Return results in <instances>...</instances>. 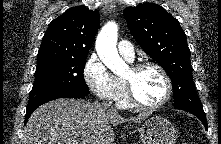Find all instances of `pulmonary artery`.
I'll return each mask as SVG.
<instances>
[{
    "label": "pulmonary artery",
    "mask_w": 221,
    "mask_h": 144,
    "mask_svg": "<svg viewBox=\"0 0 221 144\" xmlns=\"http://www.w3.org/2000/svg\"><path fill=\"white\" fill-rule=\"evenodd\" d=\"M118 51L120 55L128 61H133L135 52L132 44L129 41L121 40L118 43Z\"/></svg>",
    "instance_id": "pulmonary-artery-1"
}]
</instances>
